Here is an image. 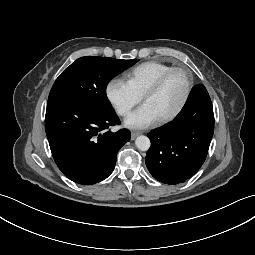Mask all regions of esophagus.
<instances>
[{"mask_svg":"<svg viewBox=\"0 0 255 255\" xmlns=\"http://www.w3.org/2000/svg\"><path fill=\"white\" fill-rule=\"evenodd\" d=\"M139 134V132H131V139L134 140Z\"/></svg>","mask_w":255,"mask_h":255,"instance_id":"obj_1","label":"esophagus"}]
</instances>
